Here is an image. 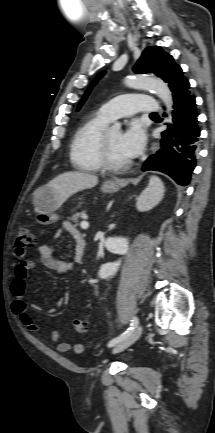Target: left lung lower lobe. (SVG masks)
Masks as SVG:
<instances>
[{
    "mask_svg": "<svg viewBox=\"0 0 215 433\" xmlns=\"http://www.w3.org/2000/svg\"><path fill=\"white\" fill-rule=\"evenodd\" d=\"M174 100L173 122L162 132L161 148L144 163L142 170H156L186 186L196 166L200 129L195 97L184 77L170 88Z\"/></svg>",
    "mask_w": 215,
    "mask_h": 433,
    "instance_id": "left-lung-lower-lobe-1",
    "label": "left lung lower lobe"
}]
</instances>
